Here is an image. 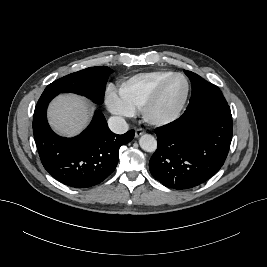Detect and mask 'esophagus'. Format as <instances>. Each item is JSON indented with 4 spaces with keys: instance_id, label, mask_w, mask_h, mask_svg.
<instances>
[{
    "instance_id": "esophagus-1",
    "label": "esophagus",
    "mask_w": 267,
    "mask_h": 267,
    "mask_svg": "<svg viewBox=\"0 0 267 267\" xmlns=\"http://www.w3.org/2000/svg\"><path fill=\"white\" fill-rule=\"evenodd\" d=\"M145 133L144 129L142 128H138L136 131H135V137L138 138L140 137L141 135H143Z\"/></svg>"
}]
</instances>
